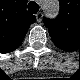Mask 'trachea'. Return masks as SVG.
Segmentation results:
<instances>
[{"instance_id":"3493384b","label":"trachea","mask_w":80,"mask_h":80,"mask_svg":"<svg viewBox=\"0 0 80 80\" xmlns=\"http://www.w3.org/2000/svg\"><path fill=\"white\" fill-rule=\"evenodd\" d=\"M27 8H28V11L33 14L39 11V5L34 1L29 2Z\"/></svg>"}]
</instances>
